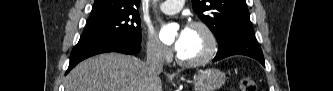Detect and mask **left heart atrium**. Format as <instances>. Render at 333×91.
Instances as JSON below:
<instances>
[{"label":"left heart atrium","mask_w":333,"mask_h":91,"mask_svg":"<svg viewBox=\"0 0 333 91\" xmlns=\"http://www.w3.org/2000/svg\"><path fill=\"white\" fill-rule=\"evenodd\" d=\"M187 31H188L187 27H182L179 29V31L176 35L173 47L178 53L182 50V48L184 46L186 36H187Z\"/></svg>","instance_id":"1"}]
</instances>
